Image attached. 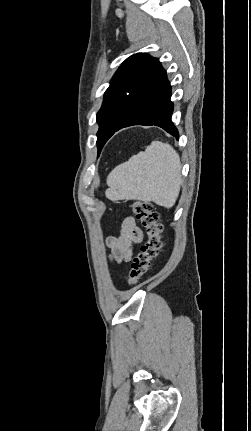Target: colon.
<instances>
[{
  "instance_id": "1",
  "label": "colon",
  "mask_w": 251,
  "mask_h": 431,
  "mask_svg": "<svg viewBox=\"0 0 251 431\" xmlns=\"http://www.w3.org/2000/svg\"><path fill=\"white\" fill-rule=\"evenodd\" d=\"M136 219L140 222L148 238L141 245L138 253L133 257L128 284L136 286L147 272L152 260H154L162 247V224L159 214L149 201L137 200L131 204Z\"/></svg>"
}]
</instances>
